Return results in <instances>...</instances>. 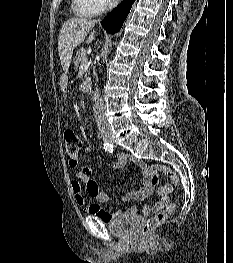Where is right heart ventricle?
Here are the masks:
<instances>
[{
    "instance_id": "1",
    "label": "right heart ventricle",
    "mask_w": 233,
    "mask_h": 263,
    "mask_svg": "<svg viewBox=\"0 0 233 263\" xmlns=\"http://www.w3.org/2000/svg\"><path fill=\"white\" fill-rule=\"evenodd\" d=\"M77 10L83 15H90L91 13L86 9L82 0H75Z\"/></svg>"
}]
</instances>
